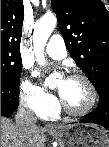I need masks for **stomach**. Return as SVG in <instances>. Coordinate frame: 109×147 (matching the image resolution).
Instances as JSON below:
<instances>
[{
    "label": "stomach",
    "instance_id": "1",
    "mask_svg": "<svg viewBox=\"0 0 109 147\" xmlns=\"http://www.w3.org/2000/svg\"><path fill=\"white\" fill-rule=\"evenodd\" d=\"M60 147H109V134L94 124H70L50 133Z\"/></svg>",
    "mask_w": 109,
    "mask_h": 147
}]
</instances>
